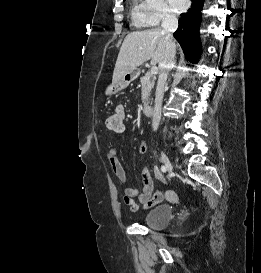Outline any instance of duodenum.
I'll return each instance as SVG.
<instances>
[{
  "instance_id": "410a0bca",
  "label": "duodenum",
  "mask_w": 261,
  "mask_h": 273,
  "mask_svg": "<svg viewBox=\"0 0 261 273\" xmlns=\"http://www.w3.org/2000/svg\"><path fill=\"white\" fill-rule=\"evenodd\" d=\"M143 113L146 115V116H151L152 113H153V107L151 104L149 103H146L143 105Z\"/></svg>"
}]
</instances>
